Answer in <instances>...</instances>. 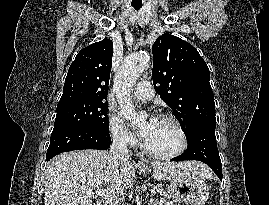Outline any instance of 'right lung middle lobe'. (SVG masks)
I'll use <instances>...</instances> for the list:
<instances>
[{
	"mask_svg": "<svg viewBox=\"0 0 269 205\" xmlns=\"http://www.w3.org/2000/svg\"><path fill=\"white\" fill-rule=\"evenodd\" d=\"M108 103L103 101L57 106L55 127L77 125L109 133Z\"/></svg>",
	"mask_w": 269,
	"mask_h": 205,
	"instance_id": "obj_1",
	"label": "right lung middle lobe"
}]
</instances>
